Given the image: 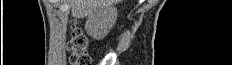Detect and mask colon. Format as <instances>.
I'll return each mask as SVG.
<instances>
[{
	"label": "colon",
	"mask_w": 232,
	"mask_h": 65,
	"mask_svg": "<svg viewBox=\"0 0 232 65\" xmlns=\"http://www.w3.org/2000/svg\"><path fill=\"white\" fill-rule=\"evenodd\" d=\"M72 65H90L91 59L87 52V38L77 27H73L67 43Z\"/></svg>",
	"instance_id": "1"
}]
</instances>
